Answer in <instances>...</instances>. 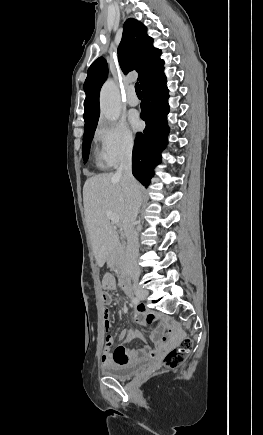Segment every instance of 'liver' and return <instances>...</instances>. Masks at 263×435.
I'll return each instance as SVG.
<instances>
[{
  "label": "liver",
  "mask_w": 263,
  "mask_h": 435,
  "mask_svg": "<svg viewBox=\"0 0 263 435\" xmlns=\"http://www.w3.org/2000/svg\"><path fill=\"white\" fill-rule=\"evenodd\" d=\"M83 203L92 249L97 264L102 267L118 244V234L106 212L117 214L126 230L129 224L121 178L114 173L88 178L83 187Z\"/></svg>",
  "instance_id": "liver-1"
}]
</instances>
